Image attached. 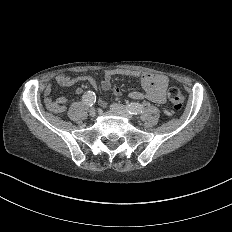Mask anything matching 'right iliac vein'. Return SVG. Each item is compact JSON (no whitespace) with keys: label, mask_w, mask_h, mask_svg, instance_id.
Segmentation results:
<instances>
[{"label":"right iliac vein","mask_w":232,"mask_h":232,"mask_svg":"<svg viewBox=\"0 0 232 232\" xmlns=\"http://www.w3.org/2000/svg\"><path fill=\"white\" fill-rule=\"evenodd\" d=\"M89 115H90L91 117H94V116L96 115V110H95V109H90V110H89Z\"/></svg>","instance_id":"63e3f726"}]
</instances>
